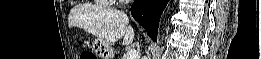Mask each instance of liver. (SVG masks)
<instances>
[{"label": "liver", "instance_id": "obj_1", "mask_svg": "<svg viewBox=\"0 0 261 59\" xmlns=\"http://www.w3.org/2000/svg\"><path fill=\"white\" fill-rule=\"evenodd\" d=\"M128 24L129 18L123 11L104 8L81 15L75 12L68 20L69 28L80 27L110 43L123 38V45L132 44L135 36L134 29Z\"/></svg>", "mask_w": 261, "mask_h": 59}]
</instances>
